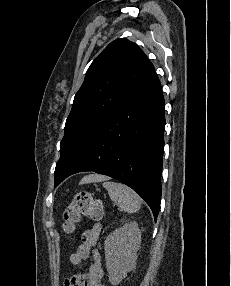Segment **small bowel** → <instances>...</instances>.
<instances>
[{
    "instance_id": "small-bowel-1",
    "label": "small bowel",
    "mask_w": 231,
    "mask_h": 286,
    "mask_svg": "<svg viewBox=\"0 0 231 286\" xmlns=\"http://www.w3.org/2000/svg\"><path fill=\"white\" fill-rule=\"evenodd\" d=\"M100 234L101 225L99 223H94L83 232L81 243L69 257L70 266L75 270V273L65 279L64 286H104L101 255L95 247ZM90 255L92 261L88 270L86 272L80 271L82 262L87 260Z\"/></svg>"
}]
</instances>
